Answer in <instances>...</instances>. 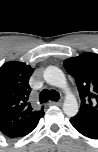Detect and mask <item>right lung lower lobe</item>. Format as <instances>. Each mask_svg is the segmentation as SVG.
Here are the masks:
<instances>
[{"label":"right lung lower lobe","mask_w":98,"mask_h":152,"mask_svg":"<svg viewBox=\"0 0 98 152\" xmlns=\"http://www.w3.org/2000/svg\"><path fill=\"white\" fill-rule=\"evenodd\" d=\"M39 120L37 122H35L32 126H30L28 129H26L25 131H23L20 135H18L17 137H21V136H25L28 133H30L31 131H33L35 129V127L37 126ZM15 138V137H14Z\"/></svg>","instance_id":"1"}]
</instances>
